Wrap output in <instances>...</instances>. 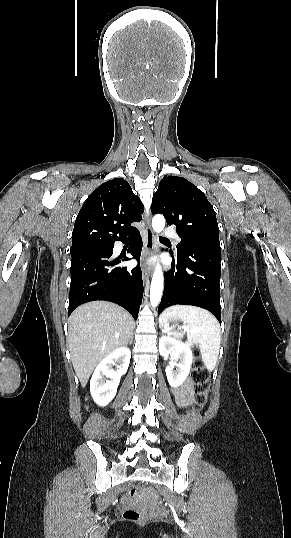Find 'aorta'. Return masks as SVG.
<instances>
[{
    "label": "aorta",
    "mask_w": 291,
    "mask_h": 538,
    "mask_svg": "<svg viewBox=\"0 0 291 538\" xmlns=\"http://www.w3.org/2000/svg\"><path fill=\"white\" fill-rule=\"evenodd\" d=\"M152 227L155 232H161L165 227V218L157 214L152 219ZM163 293V272L161 266L157 264L153 273L151 288H150V302L152 307H156L161 300Z\"/></svg>",
    "instance_id": "obj_1"
}]
</instances>
